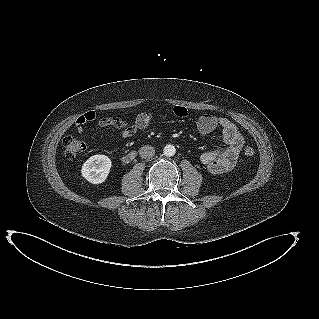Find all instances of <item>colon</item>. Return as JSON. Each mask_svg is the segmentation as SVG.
<instances>
[{"mask_svg": "<svg viewBox=\"0 0 319 319\" xmlns=\"http://www.w3.org/2000/svg\"><path fill=\"white\" fill-rule=\"evenodd\" d=\"M94 118L92 112L86 113L81 116L77 122L85 124ZM64 154L67 158H74L86 150V144L78 139L75 135H68L63 139ZM244 157L251 160L255 157L256 152L253 147L246 146L243 151Z\"/></svg>", "mask_w": 319, "mask_h": 319, "instance_id": "obj_1", "label": "colon"}]
</instances>
